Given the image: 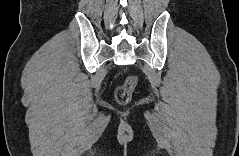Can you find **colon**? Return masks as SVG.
Segmentation results:
<instances>
[{
	"label": "colon",
	"mask_w": 239,
	"mask_h": 156,
	"mask_svg": "<svg viewBox=\"0 0 239 156\" xmlns=\"http://www.w3.org/2000/svg\"><path fill=\"white\" fill-rule=\"evenodd\" d=\"M137 84V78L134 75L128 76L125 81L116 90V100L120 104H126L132 95Z\"/></svg>",
	"instance_id": "5ec220e1"
}]
</instances>
